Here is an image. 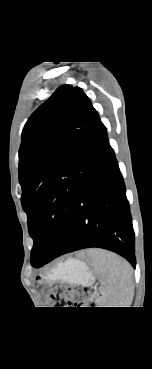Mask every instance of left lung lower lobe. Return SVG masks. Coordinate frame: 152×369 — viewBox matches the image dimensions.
Segmentation results:
<instances>
[{
	"mask_svg": "<svg viewBox=\"0 0 152 369\" xmlns=\"http://www.w3.org/2000/svg\"><path fill=\"white\" fill-rule=\"evenodd\" d=\"M135 237L123 177L107 131L98 121L84 156V172L75 193L71 226L53 258L89 247L114 251L133 267Z\"/></svg>",
	"mask_w": 152,
	"mask_h": 369,
	"instance_id": "left-lung-lower-lobe-1",
	"label": "left lung lower lobe"
}]
</instances>
